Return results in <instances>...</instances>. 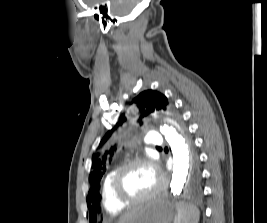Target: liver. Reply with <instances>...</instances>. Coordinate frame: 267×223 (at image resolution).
<instances>
[{"mask_svg": "<svg viewBox=\"0 0 267 223\" xmlns=\"http://www.w3.org/2000/svg\"><path fill=\"white\" fill-rule=\"evenodd\" d=\"M137 211V208H133L132 210L126 212L118 221V223H125L133 214Z\"/></svg>", "mask_w": 267, "mask_h": 223, "instance_id": "1", "label": "liver"}]
</instances>
